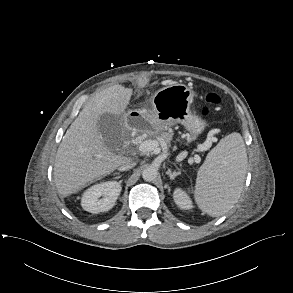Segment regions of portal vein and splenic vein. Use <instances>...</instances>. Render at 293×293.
<instances>
[{
	"label": "portal vein and splenic vein",
	"mask_w": 293,
	"mask_h": 293,
	"mask_svg": "<svg viewBox=\"0 0 293 293\" xmlns=\"http://www.w3.org/2000/svg\"><path fill=\"white\" fill-rule=\"evenodd\" d=\"M159 143L156 140H145L142 141L139 145V151L140 152H151V151H155L158 149ZM194 161L196 163H200L201 158L198 155L194 156Z\"/></svg>",
	"instance_id": "portal-vein-and-splenic-vein-1"
}]
</instances>
